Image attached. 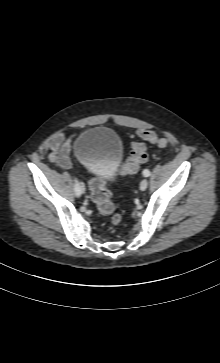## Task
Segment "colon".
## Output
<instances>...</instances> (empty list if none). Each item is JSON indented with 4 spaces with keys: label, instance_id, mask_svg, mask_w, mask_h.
Listing matches in <instances>:
<instances>
[{
    "label": "colon",
    "instance_id": "5ec220e1",
    "mask_svg": "<svg viewBox=\"0 0 220 363\" xmlns=\"http://www.w3.org/2000/svg\"><path fill=\"white\" fill-rule=\"evenodd\" d=\"M139 141L131 143V152L127 162L120 168L122 175L132 174L138 171L140 165L148 158L147 146L144 143L150 142L160 147H167L172 144L171 140L159 137L155 132L150 130H140L137 132ZM91 197L94 201L98 212L103 216H111V222L115 226L121 225V216L115 213L114 206L111 202V195L103 180L93 177L89 180Z\"/></svg>",
    "mask_w": 220,
    "mask_h": 363
}]
</instances>
